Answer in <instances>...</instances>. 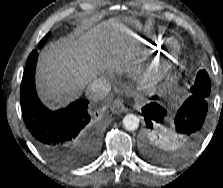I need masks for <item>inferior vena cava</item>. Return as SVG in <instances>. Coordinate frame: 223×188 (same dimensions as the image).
<instances>
[{"instance_id": "602c4592", "label": "inferior vena cava", "mask_w": 223, "mask_h": 188, "mask_svg": "<svg viewBox=\"0 0 223 188\" xmlns=\"http://www.w3.org/2000/svg\"><path fill=\"white\" fill-rule=\"evenodd\" d=\"M111 90L109 80L105 78H98L93 80L87 87L86 94L89 99L99 101L104 99Z\"/></svg>"}]
</instances>
